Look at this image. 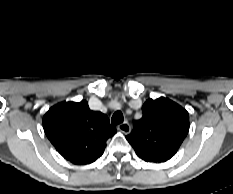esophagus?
Masks as SVG:
<instances>
[{
    "label": "esophagus",
    "instance_id": "obj_1",
    "mask_svg": "<svg viewBox=\"0 0 233 194\" xmlns=\"http://www.w3.org/2000/svg\"><path fill=\"white\" fill-rule=\"evenodd\" d=\"M118 130L124 134H129L131 132V125L128 122H123L118 125Z\"/></svg>",
    "mask_w": 233,
    "mask_h": 194
}]
</instances>
